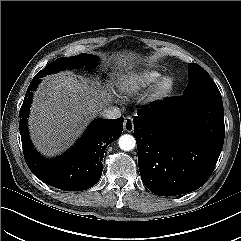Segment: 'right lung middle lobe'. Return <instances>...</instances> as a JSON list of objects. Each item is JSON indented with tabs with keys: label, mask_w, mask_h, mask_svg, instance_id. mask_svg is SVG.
Instances as JSON below:
<instances>
[{
	"label": "right lung middle lobe",
	"mask_w": 241,
	"mask_h": 241,
	"mask_svg": "<svg viewBox=\"0 0 241 241\" xmlns=\"http://www.w3.org/2000/svg\"><path fill=\"white\" fill-rule=\"evenodd\" d=\"M94 62H96V57L85 53L69 58L61 57L37 73L35 77L42 78L48 74L55 73L66 68L81 67L83 65L90 66L93 65Z\"/></svg>",
	"instance_id": "1"
}]
</instances>
